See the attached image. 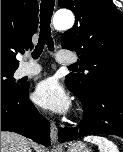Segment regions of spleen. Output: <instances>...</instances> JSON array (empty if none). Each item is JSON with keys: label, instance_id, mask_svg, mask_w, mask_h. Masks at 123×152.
Returning a JSON list of instances; mask_svg holds the SVG:
<instances>
[{"label": "spleen", "instance_id": "obj_1", "mask_svg": "<svg viewBox=\"0 0 123 152\" xmlns=\"http://www.w3.org/2000/svg\"><path fill=\"white\" fill-rule=\"evenodd\" d=\"M84 141L96 144L100 152H119L117 146L105 137L92 135L85 137Z\"/></svg>", "mask_w": 123, "mask_h": 152}]
</instances>
